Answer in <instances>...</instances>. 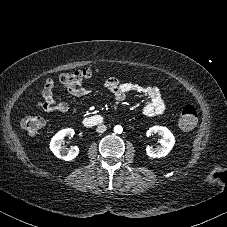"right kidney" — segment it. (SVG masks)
Masks as SVG:
<instances>
[{
    "label": "right kidney",
    "mask_w": 227,
    "mask_h": 227,
    "mask_svg": "<svg viewBox=\"0 0 227 227\" xmlns=\"http://www.w3.org/2000/svg\"><path fill=\"white\" fill-rule=\"evenodd\" d=\"M74 130L66 128L57 132L50 142V149L57 158L65 161L73 160L79 154V148L74 146L70 149L62 146V141L65 137H73Z\"/></svg>",
    "instance_id": "obj_1"
}]
</instances>
